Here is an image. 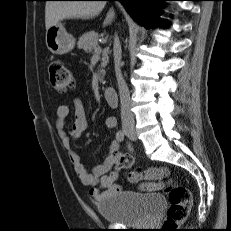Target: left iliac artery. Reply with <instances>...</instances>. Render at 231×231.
Masks as SVG:
<instances>
[{"mask_svg": "<svg viewBox=\"0 0 231 231\" xmlns=\"http://www.w3.org/2000/svg\"><path fill=\"white\" fill-rule=\"evenodd\" d=\"M128 149L131 151L132 150V147L130 145V143H128Z\"/></svg>", "mask_w": 231, "mask_h": 231, "instance_id": "obj_1", "label": "left iliac artery"}]
</instances>
